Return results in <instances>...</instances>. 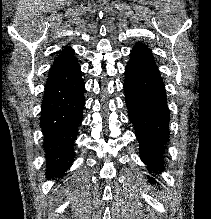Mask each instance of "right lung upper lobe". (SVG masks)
I'll return each mask as SVG.
<instances>
[{
    "mask_svg": "<svg viewBox=\"0 0 211 219\" xmlns=\"http://www.w3.org/2000/svg\"><path fill=\"white\" fill-rule=\"evenodd\" d=\"M73 53L74 51L71 47L64 48L63 51L61 52V55L58 58H56L55 61L53 62V65L50 69V74L56 69H58L59 67H61L62 65L74 60L75 58L72 57Z\"/></svg>",
    "mask_w": 211,
    "mask_h": 219,
    "instance_id": "obj_1",
    "label": "right lung upper lobe"
}]
</instances>
